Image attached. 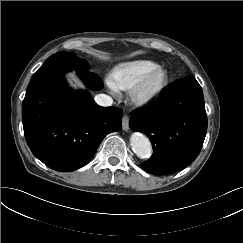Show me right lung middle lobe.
<instances>
[{
	"instance_id": "1",
	"label": "right lung middle lobe",
	"mask_w": 243,
	"mask_h": 243,
	"mask_svg": "<svg viewBox=\"0 0 243 243\" xmlns=\"http://www.w3.org/2000/svg\"><path fill=\"white\" fill-rule=\"evenodd\" d=\"M56 67L66 70L73 69L75 71H84L89 69V65L84 59L79 58L74 53L65 51L58 52L50 56L40 68L50 70Z\"/></svg>"
}]
</instances>
